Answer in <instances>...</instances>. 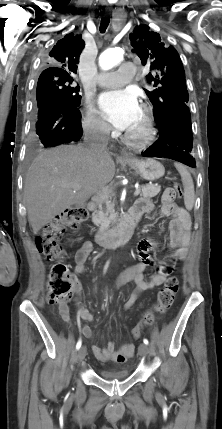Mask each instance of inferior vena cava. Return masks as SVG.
I'll return each mask as SVG.
<instances>
[{"mask_svg":"<svg viewBox=\"0 0 222 429\" xmlns=\"http://www.w3.org/2000/svg\"><path fill=\"white\" fill-rule=\"evenodd\" d=\"M111 126L100 120L95 119L84 131V142L87 149L91 152H104L107 150Z\"/></svg>","mask_w":222,"mask_h":429,"instance_id":"1","label":"inferior vena cava"}]
</instances>
